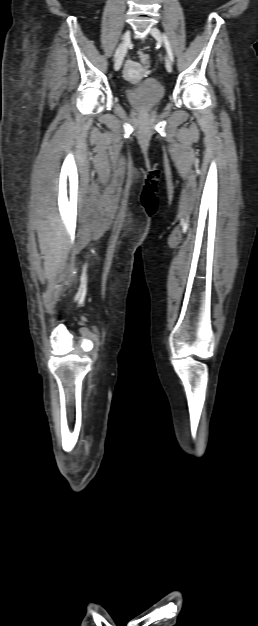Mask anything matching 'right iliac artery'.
<instances>
[{"mask_svg":"<svg viewBox=\"0 0 258 626\" xmlns=\"http://www.w3.org/2000/svg\"><path fill=\"white\" fill-rule=\"evenodd\" d=\"M120 48H121V46H119V47H118V49L116 50V53H115V56H114V58H116V57L118 56V54H119V51H120Z\"/></svg>","mask_w":258,"mask_h":626,"instance_id":"82829eb1","label":"right iliac artery"}]
</instances>
